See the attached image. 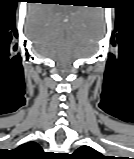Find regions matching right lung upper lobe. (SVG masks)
<instances>
[{"label": "right lung upper lobe", "instance_id": "right-lung-upper-lobe-1", "mask_svg": "<svg viewBox=\"0 0 134 159\" xmlns=\"http://www.w3.org/2000/svg\"><path fill=\"white\" fill-rule=\"evenodd\" d=\"M15 151L25 155L24 159H34V157H38L41 154L42 149L37 143L28 142L19 146L17 149H15Z\"/></svg>", "mask_w": 134, "mask_h": 159}]
</instances>
